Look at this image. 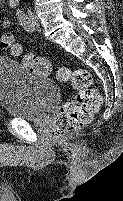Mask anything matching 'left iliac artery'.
<instances>
[{
  "mask_svg": "<svg viewBox=\"0 0 123 201\" xmlns=\"http://www.w3.org/2000/svg\"><path fill=\"white\" fill-rule=\"evenodd\" d=\"M17 17H18V20H19V23L20 25L28 32H32L33 29L31 27V24H30V20L29 18L27 17V15L21 11V10H17V13H16Z\"/></svg>",
  "mask_w": 123,
  "mask_h": 201,
  "instance_id": "obj_1",
  "label": "left iliac artery"
}]
</instances>
